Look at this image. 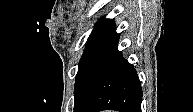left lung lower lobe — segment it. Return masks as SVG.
I'll return each mask as SVG.
<instances>
[{
    "label": "left lung lower lobe",
    "mask_w": 193,
    "mask_h": 112,
    "mask_svg": "<svg viewBox=\"0 0 193 112\" xmlns=\"http://www.w3.org/2000/svg\"><path fill=\"white\" fill-rule=\"evenodd\" d=\"M118 41L112 21L86 44L76 75L74 112H141L140 81L117 49Z\"/></svg>",
    "instance_id": "1"
}]
</instances>
